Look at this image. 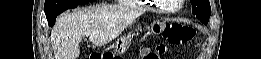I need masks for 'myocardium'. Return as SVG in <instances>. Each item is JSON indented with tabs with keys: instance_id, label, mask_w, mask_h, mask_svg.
Here are the masks:
<instances>
[{
	"instance_id": "f54148a6",
	"label": "myocardium",
	"mask_w": 261,
	"mask_h": 59,
	"mask_svg": "<svg viewBox=\"0 0 261 59\" xmlns=\"http://www.w3.org/2000/svg\"><path fill=\"white\" fill-rule=\"evenodd\" d=\"M163 2V1H162ZM179 2H183V0H180ZM155 3H157L158 5H160L161 1H155ZM181 7V5L179 6V8ZM162 10L164 11H167V12H173V11H176L177 9H170V8H161Z\"/></svg>"
}]
</instances>
